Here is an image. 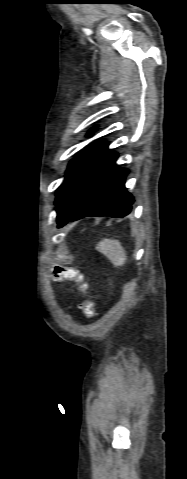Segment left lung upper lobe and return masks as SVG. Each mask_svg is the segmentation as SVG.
Wrapping results in <instances>:
<instances>
[{"mask_svg": "<svg viewBox=\"0 0 187 479\" xmlns=\"http://www.w3.org/2000/svg\"><path fill=\"white\" fill-rule=\"evenodd\" d=\"M107 144L101 140H97L89 145L83 152L77 154L69 163L66 171L65 182L61 184L56 193L57 203L61 200L66 192L70 189L76 179L83 173V171L97 158L107 151Z\"/></svg>", "mask_w": 187, "mask_h": 479, "instance_id": "1", "label": "left lung upper lobe"}]
</instances>
